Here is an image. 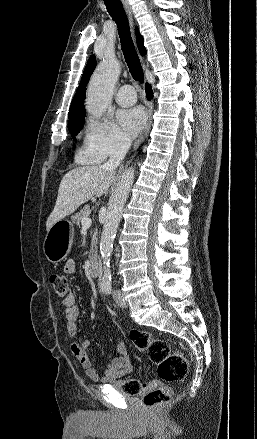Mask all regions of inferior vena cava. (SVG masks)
Here are the masks:
<instances>
[{
	"mask_svg": "<svg viewBox=\"0 0 257 439\" xmlns=\"http://www.w3.org/2000/svg\"><path fill=\"white\" fill-rule=\"evenodd\" d=\"M131 145V140L126 137H120L114 143L109 161L104 165L107 169H115L126 156Z\"/></svg>",
	"mask_w": 257,
	"mask_h": 439,
	"instance_id": "inferior-vena-cava-1",
	"label": "inferior vena cava"
}]
</instances>
